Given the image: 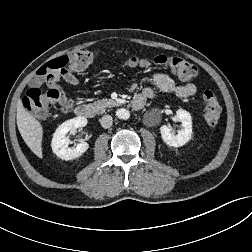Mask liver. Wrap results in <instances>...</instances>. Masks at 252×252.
I'll list each match as a JSON object with an SVG mask.
<instances>
[{"label": "liver", "mask_w": 252, "mask_h": 252, "mask_svg": "<svg viewBox=\"0 0 252 252\" xmlns=\"http://www.w3.org/2000/svg\"><path fill=\"white\" fill-rule=\"evenodd\" d=\"M18 130L30 150L39 158L42 154L43 128L41 123L33 117L22 105L21 100L17 104Z\"/></svg>", "instance_id": "liver-1"}]
</instances>
